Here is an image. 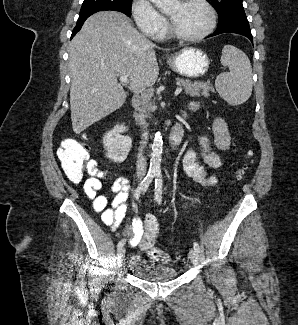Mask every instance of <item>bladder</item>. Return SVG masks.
I'll use <instances>...</instances> for the list:
<instances>
[{"label": "bladder", "instance_id": "obj_1", "mask_svg": "<svg viewBox=\"0 0 298 325\" xmlns=\"http://www.w3.org/2000/svg\"><path fill=\"white\" fill-rule=\"evenodd\" d=\"M129 270L135 277L146 282H168L178 276L175 268L151 262L142 255H133L130 258Z\"/></svg>", "mask_w": 298, "mask_h": 325}]
</instances>
